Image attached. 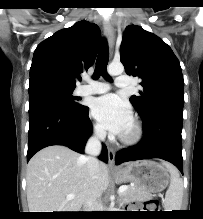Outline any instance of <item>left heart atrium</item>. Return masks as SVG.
Instances as JSON below:
<instances>
[{
	"label": "left heart atrium",
	"mask_w": 203,
	"mask_h": 219,
	"mask_svg": "<svg viewBox=\"0 0 203 219\" xmlns=\"http://www.w3.org/2000/svg\"><path fill=\"white\" fill-rule=\"evenodd\" d=\"M92 115L105 129L115 134H123L132 123L130 106L116 94L96 98L92 104Z\"/></svg>",
	"instance_id": "obj_1"
}]
</instances>
